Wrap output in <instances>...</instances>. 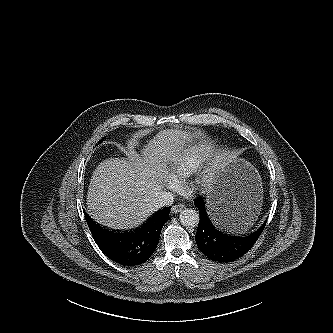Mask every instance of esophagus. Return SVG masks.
Instances as JSON below:
<instances>
[{
	"label": "esophagus",
	"mask_w": 333,
	"mask_h": 333,
	"mask_svg": "<svg viewBox=\"0 0 333 333\" xmlns=\"http://www.w3.org/2000/svg\"><path fill=\"white\" fill-rule=\"evenodd\" d=\"M183 208H184V205L178 204V205L172 206L171 211H172V213L176 214V213L181 212L183 210Z\"/></svg>",
	"instance_id": "34e87169"
}]
</instances>
